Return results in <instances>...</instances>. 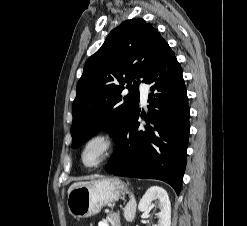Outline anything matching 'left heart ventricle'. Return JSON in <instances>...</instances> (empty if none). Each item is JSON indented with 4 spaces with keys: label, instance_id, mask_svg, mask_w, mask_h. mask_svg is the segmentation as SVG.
Instances as JSON below:
<instances>
[{
    "label": "left heart ventricle",
    "instance_id": "obj_1",
    "mask_svg": "<svg viewBox=\"0 0 247 226\" xmlns=\"http://www.w3.org/2000/svg\"><path fill=\"white\" fill-rule=\"evenodd\" d=\"M101 151V146L98 143L92 144L86 151L85 161L87 163H92L97 159Z\"/></svg>",
    "mask_w": 247,
    "mask_h": 226
}]
</instances>
